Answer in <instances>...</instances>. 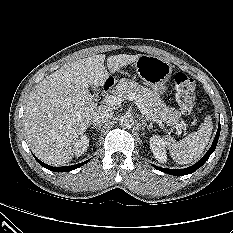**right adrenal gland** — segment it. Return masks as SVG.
I'll return each mask as SVG.
<instances>
[{
    "mask_svg": "<svg viewBox=\"0 0 233 233\" xmlns=\"http://www.w3.org/2000/svg\"><path fill=\"white\" fill-rule=\"evenodd\" d=\"M90 127V126H89ZM101 126H92L91 129H96L97 131L100 130Z\"/></svg>",
    "mask_w": 233,
    "mask_h": 233,
    "instance_id": "2a0ac1e0",
    "label": "right adrenal gland"
}]
</instances>
